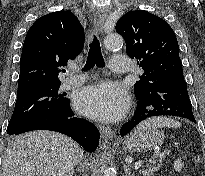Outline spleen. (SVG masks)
Returning <instances> with one entry per match:
<instances>
[{"label": "spleen", "mask_w": 205, "mask_h": 176, "mask_svg": "<svg viewBox=\"0 0 205 176\" xmlns=\"http://www.w3.org/2000/svg\"><path fill=\"white\" fill-rule=\"evenodd\" d=\"M181 124L174 120L167 117H155L150 118L142 123L139 124L138 128H144V127H154V128H160V127H169V128H178ZM195 162H200V158L198 157L197 160L194 159Z\"/></svg>", "instance_id": "1"}]
</instances>
